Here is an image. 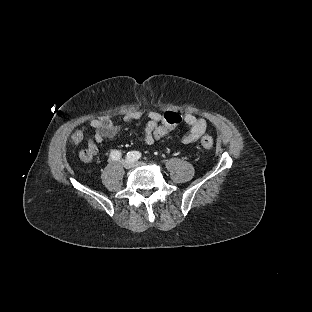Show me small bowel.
Masks as SVG:
<instances>
[{"label":"small bowel","mask_w":312,"mask_h":312,"mask_svg":"<svg viewBox=\"0 0 312 312\" xmlns=\"http://www.w3.org/2000/svg\"><path fill=\"white\" fill-rule=\"evenodd\" d=\"M183 116L184 123L190 128V131L183 137L182 141L187 145L196 143L205 134L208 126L207 121L205 118L197 117L189 112L184 113ZM141 118L147 119L144 133L145 143L153 145L156 140L150 135V127L156 121H163V116L157 110H133L124 115L125 122ZM89 125L94 130V133L88 142V146L79 154L81 161L86 164L90 163L97 155L98 145L104 139L115 137L120 130V126L115 124L109 116L94 118L90 120Z\"/></svg>","instance_id":"obj_1"}]
</instances>
